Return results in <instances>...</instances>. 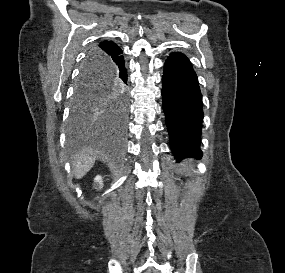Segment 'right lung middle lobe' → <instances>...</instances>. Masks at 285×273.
I'll return each mask as SVG.
<instances>
[{"instance_id":"obj_1","label":"right lung middle lobe","mask_w":285,"mask_h":273,"mask_svg":"<svg viewBox=\"0 0 285 273\" xmlns=\"http://www.w3.org/2000/svg\"><path fill=\"white\" fill-rule=\"evenodd\" d=\"M124 96L125 87L114 77L107 57L89 52L76 82L71 111V126L80 128L92 108L109 95Z\"/></svg>"}]
</instances>
